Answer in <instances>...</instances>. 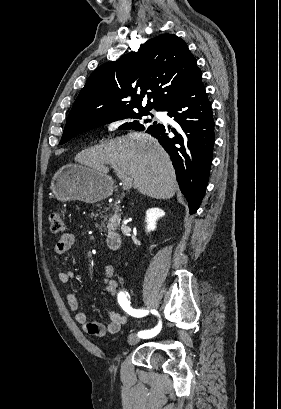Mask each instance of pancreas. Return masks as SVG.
I'll use <instances>...</instances> for the list:
<instances>
[{"instance_id": "1", "label": "pancreas", "mask_w": 281, "mask_h": 409, "mask_svg": "<svg viewBox=\"0 0 281 409\" xmlns=\"http://www.w3.org/2000/svg\"><path fill=\"white\" fill-rule=\"evenodd\" d=\"M120 215H121V209L120 207H118L117 202H116L115 209H114V215H112V217H116V219H119Z\"/></svg>"}]
</instances>
